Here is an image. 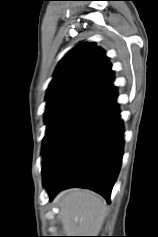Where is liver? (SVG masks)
Here are the masks:
<instances>
[{
    "label": "liver",
    "mask_w": 158,
    "mask_h": 237,
    "mask_svg": "<svg viewBox=\"0 0 158 237\" xmlns=\"http://www.w3.org/2000/svg\"><path fill=\"white\" fill-rule=\"evenodd\" d=\"M55 201L65 236H95L99 233L107 214L106 202L100 195L73 188L61 192Z\"/></svg>",
    "instance_id": "liver-1"
}]
</instances>
